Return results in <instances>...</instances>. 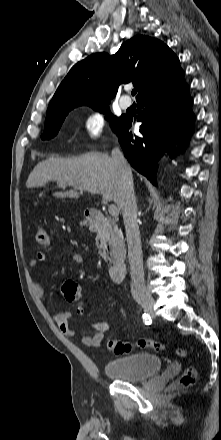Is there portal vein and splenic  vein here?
<instances>
[{
  "instance_id": "portal-vein-and-splenic-vein-1",
  "label": "portal vein and splenic vein",
  "mask_w": 221,
  "mask_h": 440,
  "mask_svg": "<svg viewBox=\"0 0 221 440\" xmlns=\"http://www.w3.org/2000/svg\"><path fill=\"white\" fill-rule=\"evenodd\" d=\"M81 190H85V191H88V192L94 193V194L98 193V191L96 189L91 188V187H82ZM108 211H109L110 215L113 217H116L119 215V210L117 209L116 205L111 204L108 207Z\"/></svg>"
}]
</instances>
